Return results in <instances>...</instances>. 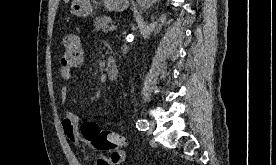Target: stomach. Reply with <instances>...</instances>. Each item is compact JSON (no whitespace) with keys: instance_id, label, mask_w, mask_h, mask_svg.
Segmentation results:
<instances>
[{"instance_id":"1","label":"stomach","mask_w":276,"mask_h":165,"mask_svg":"<svg viewBox=\"0 0 276 165\" xmlns=\"http://www.w3.org/2000/svg\"><path fill=\"white\" fill-rule=\"evenodd\" d=\"M106 9L110 11H122L128 8L129 0H102ZM93 11L90 0H73L71 13L78 17L89 16Z\"/></svg>"}]
</instances>
